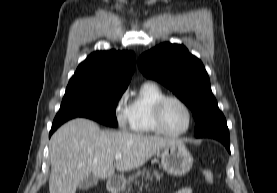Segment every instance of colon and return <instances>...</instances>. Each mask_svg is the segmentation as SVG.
<instances>
[{
	"label": "colon",
	"mask_w": 277,
	"mask_h": 193,
	"mask_svg": "<svg viewBox=\"0 0 277 193\" xmlns=\"http://www.w3.org/2000/svg\"><path fill=\"white\" fill-rule=\"evenodd\" d=\"M202 175L206 183L212 184L214 182V174L211 170L204 169Z\"/></svg>",
	"instance_id": "obj_1"
}]
</instances>
